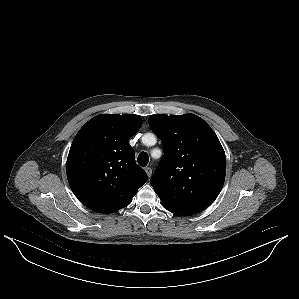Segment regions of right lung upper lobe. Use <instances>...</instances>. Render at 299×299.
Returning a JSON list of instances; mask_svg holds the SVG:
<instances>
[{
  "label": "right lung upper lobe",
  "mask_w": 299,
  "mask_h": 299,
  "mask_svg": "<svg viewBox=\"0 0 299 299\" xmlns=\"http://www.w3.org/2000/svg\"><path fill=\"white\" fill-rule=\"evenodd\" d=\"M142 125L135 114H103L77 133L66 163L69 185L89 209L109 214L126 207L148 180L129 144Z\"/></svg>",
  "instance_id": "obj_1"
}]
</instances>
